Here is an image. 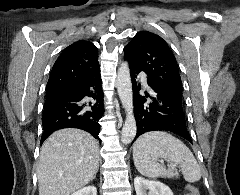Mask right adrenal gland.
Returning a JSON list of instances; mask_svg holds the SVG:
<instances>
[{"mask_svg":"<svg viewBox=\"0 0 240 195\" xmlns=\"http://www.w3.org/2000/svg\"><path fill=\"white\" fill-rule=\"evenodd\" d=\"M95 177H96V173H95V175H93V177H92L91 181H93V179H95Z\"/></svg>","mask_w":240,"mask_h":195,"instance_id":"1","label":"right adrenal gland"}]
</instances>
